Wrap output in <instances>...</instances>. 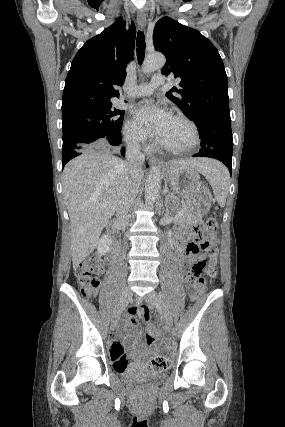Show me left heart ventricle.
I'll list each match as a JSON object with an SVG mask.
<instances>
[{"label":"left heart ventricle","mask_w":285,"mask_h":427,"mask_svg":"<svg viewBox=\"0 0 285 427\" xmlns=\"http://www.w3.org/2000/svg\"><path fill=\"white\" fill-rule=\"evenodd\" d=\"M161 140L171 146L182 148L192 142V133L184 122L171 117Z\"/></svg>","instance_id":"1"}]
</instances>
